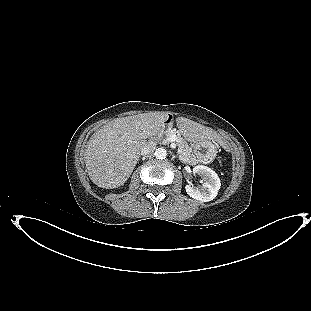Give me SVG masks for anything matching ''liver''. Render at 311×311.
<instances>
[{"mask_svg": "<svg viewBox=\"0 0 311 311\" xmlns=\"http://www.w3.org/2000/svg\"><path fill=\"white\" fill-rule=\"evenodd\" d=\"M167 112H149L117 118L95 132L85 150V163L91 181L98 187L113 189L123 185L133 172L146 138L156 135ZM177 126L196 138H208L206 127L179 117Z\"/></svg>", "mask_w": 311, "mask_h": 311, "instance_id": "liver-1", "label": "liver"}]
</instances>
